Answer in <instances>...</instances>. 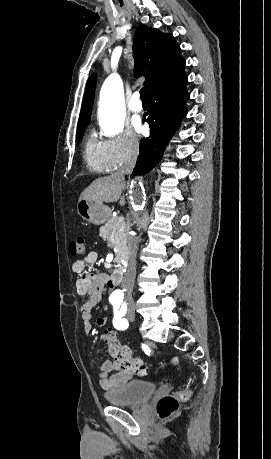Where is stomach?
Segmentation results:
<instances>
[{"mask_svg":"<svg viewBox=\"0 0 271 459\" xmlns=\"http://www.w3.org/2000/svg\"><path fill=\"white\" fill-rule=\"evenodd\" d=\"M77 212L83 220L89 224H96V226L105 224L111 216L108 206H104L102 202H88V200L78 202Z\"/></svg>","mask_w":271,"mask_h":459,"instance_id":"1","label":"stomach"}]
</instances>
